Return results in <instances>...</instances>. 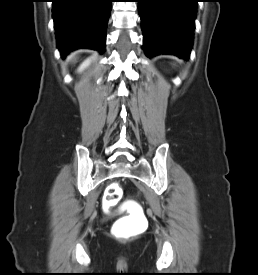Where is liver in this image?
Wrapping results in <instances>:
<instances>
[{
    "label": "liver",
    "instance_id": "6515ba94",
    "mask_svg": "<svg viewBox=\"0 0 258 275\" xmlns=\"http://www.w3.org/2000/svg\"><path fill=\"white\" fill-rule=\"evenodd\" d=\"M74 56H75V53H73L72 55H70V56L68 57V61L71 60Z\"/></svg>",
    "mask_w": 258,
    "mask_h": 275
}]
</instances>
